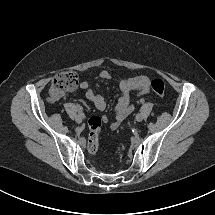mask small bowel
<instances>
[{"label": "small bowel", "mask_w": 215, "mask_h": 215, "mask_svg": "<svg viewBox=\"0 0 215 215\" xmlns=\"http://www.w3.org/2000/svg\"><path fill=\"white\" fill-rule=\"evenodd\" d=\"M111 78L112 76L107 70H102L95 76V80L102 81H108ZM119 87L122 91V96L119 98L115 107L116 120L110 125L112 130H117L131 113L133 109V105L130 101L131 92L136 91L140 95L149 94L150 79L144 75L123 78L119 82ZM80 88L84 91L86 98L94 104L97 110L103 111L106 108V99L101 94L97 93L88 82H82ZM103 120L106 121L107 118L103 117Z\"/></svg>", "instance_id": "1"}]
</instances>
